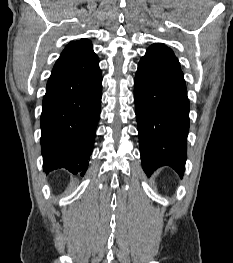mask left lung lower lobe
Returning <instances> with one entry per match:
<instances>
[{
	"instance_id": "1",
	"label": "left lung lower lobe",
	"mask_w": 233,
	"mask_h": 263,
	"mask_svg": "<svg viewBox=\"0 0 233 263\" xmlns=\"http://www.w3.org/2000/svg\"><path fill=\"white\" fill-rule=\"evenodd\" d=\"M142 166L149 176L161 166L181 177L187 158L189 99L178 59L162 43L141 58L134 81Z\"/></svg>"
}]
</instances>
